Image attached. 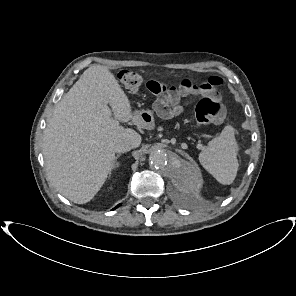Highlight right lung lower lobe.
<instances>
[{"mask_svg": "<svg viewBox=\"0 0 296 296\" xmlns=\"http://www.w3.org/2000/svg\"><path fill=\"white\" fill-rule=\"evenodd\" d=\"M121 204H119L118 206H116L114 209H116L117 207H119Z\"/></svg>", "mask_w": 296, "mask_h": 296, "instance_id": "obj_1", "label": "right lung lower lobe"}]
</instances>
